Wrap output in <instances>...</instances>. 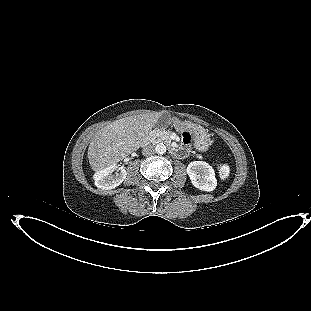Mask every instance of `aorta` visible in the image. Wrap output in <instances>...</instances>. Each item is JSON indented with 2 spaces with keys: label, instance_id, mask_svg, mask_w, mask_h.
I'll list each match as a JSON object with an SVG mask.
<instances>
[{
  "label": "aorta",
  "instance_id": "1",
  "mask_svg": "<svg viewBox=\"0 0 311 311\" xmlns=\"http://www.w3.org/2000/svg\"><path fill=\"white\" fill-rule=\"evenodd\" d=\"M155 152L157 154H160V155L164 154L166 152L165 144H163V143L157 144L156 147H155Z\"/></svg>",
  "mask_w": 311,
  "mask_h": 311
}]
</instances>
